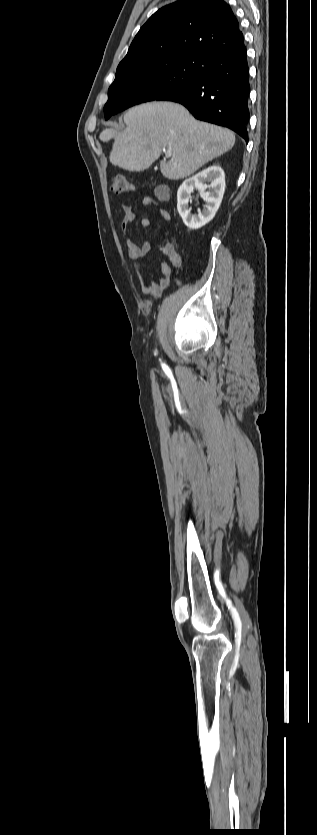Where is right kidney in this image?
<instances>
[{
  "mask_svg": "<svg viewBox=\"0 0 317 835\" xmlns=\"http://www.w3.org/2000/svg\"><path fill=\"white\" fill-rule=\"evenodd\" d=\"M194 188L200 191V196L206 202L202 211H198V215L191 214L189 207L190 194ZM224 191L225 174L218 165L209 166L186 179L177 192V209L184 224L190 229H198L210 222L220 207Z\"/></svg>",
  "mask_w": 317,
  "mask_h": 835,
  "instance_id": "1",
  "label": "right kidney"
}]
</instances>
